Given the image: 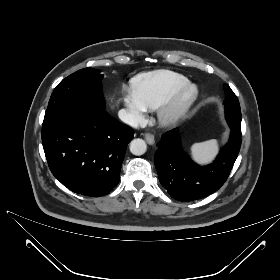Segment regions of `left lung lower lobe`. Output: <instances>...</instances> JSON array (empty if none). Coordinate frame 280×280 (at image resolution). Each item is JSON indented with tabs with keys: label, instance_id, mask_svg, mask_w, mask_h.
Segmentation results:
<instances>
[{
	"label": "left lung lower lobe",
	"instance_id": "0a47b994",
	"mask_svg": "<svg viewBox=\"0 0 280 280\" xmlns=\"http://www.w3.org/2000/svg\"><path fill=\"white\" fill-rule=\"evenodd\" d=\"M157 146L155 167L160 183L172 198L193 201L214 193L227 180L240 150L241 133L231 128L227 145L213 164L203 167L182 150L175 129L164 133Z\"/></svg>",
	"mask_w": 280,
	"mask_h": 280
}]
</instances>
